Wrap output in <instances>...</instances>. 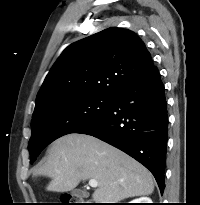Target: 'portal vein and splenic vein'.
Segmentation results:
<instances>
[{
    "label": "portal vein and splenic vein",
    "instance_id": "18ae733b",
    "mask_svg": "<svg viewBox=\"0 0 200 205\" xmlns=\"http://www.w3.org/2000/svg\"><path fill=\"white\" fill-rule=\"evenodd\" d=\"M88 184L90 187H93V188L98 187V182L95 179H90Z\"/></svg>",
    "mask_w": 200,
    "mask_h": 205
}]
</instances>
